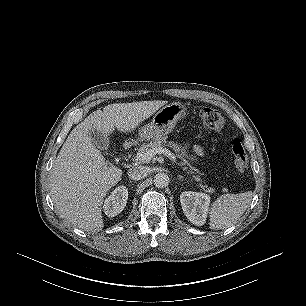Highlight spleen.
Returning <instances> with one entry per match:
<instances>
[{"label": "spleen", "mask_w": 306, "mask_h": 306, "mask_svg": "<svg viewBox=\"0 0 306 306\" xmlns=\"http://www.w3.org/2000/svg\"><path fill=\"white\" fill-rule=\"evenodd\" d=\"M252 191L238 194H224L217 198L210 210V229H224L232 226L246 211Z\"/></svg>", "instance_id": "obj_1"}]
</instances>
